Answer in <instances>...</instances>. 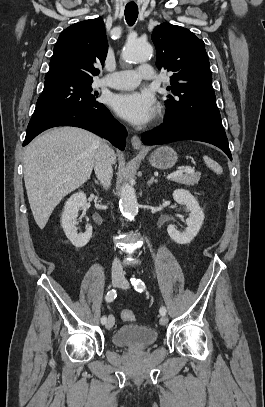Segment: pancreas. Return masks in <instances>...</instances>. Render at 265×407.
Masks as SVG:
<instances>
[{
    "mask_svg": "<svg viewBox=\"0 0 265 407\" xmlns=\"http://www.w3.org/2000/svg\"><path fill=\"white\" fill-rule=\"evenodd\" d=\"M200 176L201 174L199 172H196L192 174H182L174 177L172 180L180 184H185L187 186H194L199 182Z\"/></svg>",
    "mask_w": 265,
    "mask_h": 407,
    "instance_id": "cf45deb5",
    "label": "pancreas"
}]
</instances>
